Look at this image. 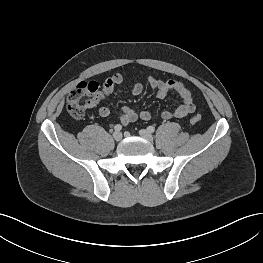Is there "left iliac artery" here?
<instances>
[{
	"mask_svg": "<svg viewBox=\"0 0 263 263\" xmlns=\"http://www.w3.org/2000/svg\"><path fill=\"white\" fill-rule=\"evenodd\" d=\"M147 130L151 133H153L155 131V127L154 126H148Z\"/></svg>",
	"mask_w": 263,
	"mask_h": 263,
	"instance_id": "44dca946",
	"label": "left iliac artery"
}]
</instances>
